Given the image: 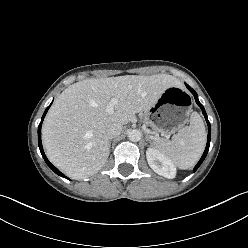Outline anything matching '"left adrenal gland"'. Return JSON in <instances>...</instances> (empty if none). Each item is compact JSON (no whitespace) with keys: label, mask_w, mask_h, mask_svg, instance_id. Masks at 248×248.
I'll return each mask as SVG.
<instances>
[{"label":"left adrenal gland","mask_w":248,"mask_h":248,"mask_svg":"<svg viewBox=\"0 0 248 248\" xmlns=\"http://www.w3.org/2000/svg\"><path fill=\"white\" fill-rule=\"evenodd\" d=\"M146 139H147V141H148L150 144H152V141H151V139H150V137H149L148 135H146Z\"/></svg>","instance_id":"1"}]
</instances>
